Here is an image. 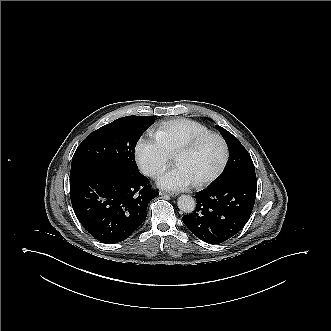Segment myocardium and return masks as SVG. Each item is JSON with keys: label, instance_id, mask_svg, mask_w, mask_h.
Returning a JSON list of instances; mask_svg holds the SVG:
<instances>
[{"label": "myocardium", "instance_id": "1", "mask_svg": "<svg viewBox=\"0 0 331 331\" xmlns=\"http://www.w3.org/2000/svg\"><path fill=\"white\" fill-rule=\"evenodd\" d=\"M208 139H215L218 141V143L220 145V149H221V159H220V162H219L217 168L210 175H208L204 178H201V179L194 180V185H197V186L211 183L216 178H218L220 176V174L223 172V170L227 164V160H228V150H227V146H226L224 139L215 132H207V133H204L202 135H199V136L189 140L177 151V153L175 155V163L179 164L182 157L185 154H187L188 152H190L191 150L196 148L199 144H201L202 142H204Z\"/></svg>", "mask_w": 331, "mask_h": 331}]
</instances>
